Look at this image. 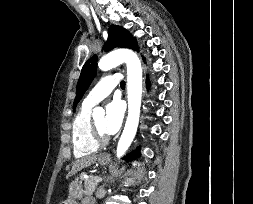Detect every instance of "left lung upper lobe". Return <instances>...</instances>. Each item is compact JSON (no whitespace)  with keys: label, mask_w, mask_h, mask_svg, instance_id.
<instances>
[{"label":"left lung upper lobe","mask_w":253,"mask_h":204,"mask_svg":"<svg viewBox=\"0 0 253 204\" xmlns=\"http://www.w3.org/2000/svg\"><path fill=\"white\" fill-rule=\"evenodd\" d=\"M116 47L130 48L139 51L136 39L124 28L116 25L110 26L108 30V39L104 45V50L109 51ZM97 70V56L94 55L84 64L80 78L77 83L76 97L73 104V109L82 98L83 94L89 87Z\"/></svg>","instance_id":"1"}]
</instances>
